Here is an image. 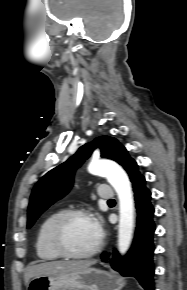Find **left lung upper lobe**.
Listing matches in <instances>:
<instances>
[{
    "label": "left lung upper lobe",
    "instance_id": "5c2ea615",
    "mask_svg": "<svg viewBox=\"0 0 187 290\" xmlns=\"http://www.w3.org/2000/svg\"><path fill=\"white\" fill-rule=\"evenodd\" d=\"M98 147L101 150V157L112 159L123 166L132 183L141 175L137 163L128 155L122 144L109 136L98 137L80 147L68 161L52 169L38 181L30 198L27 228H30L50 205L68 193L75 170Z\"/></svg>",
    "mask_w": 187,
    "mask_h": 290
}]
</instances>
